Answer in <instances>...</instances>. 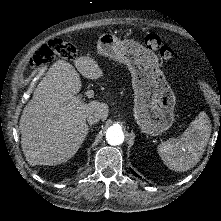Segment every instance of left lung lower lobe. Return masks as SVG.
Returning a JSON list of instances; mask_svg holds the SVG:
<instances>
[{
  "instance_id": "1",
  "label": "left lung lower lobe",
  "mask_w": 221,
  "mask_h": 221,
  "mask_svg": "<svg viewBox=\"0 0 221 221\" xmlns=\"http://www.w3.org/2000/svg\"><path fill=\"white\" fill-rule=\"evenodd\" d=\"M132 174L136 177H139V175H137L133 170H131Z\"/></svg>"
}]
</instances>
